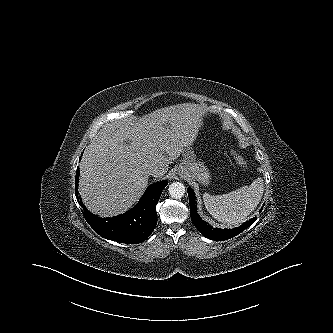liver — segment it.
Here are the masks:
<instances>
[{"label":"liver","mask_w":333,"mask_h":333,"mask_svg":"<svg viewBox=\"0 0 333 333\" xmlns=\"http://www.w3.org/2000/svg\"><path fill=\"white\" fill-rule=\"evenodd\" d=\"M201 107L184 103L157 109L138 122L106 125L85 149L79 192L89 211L101 217L124 213L143 194L149 169L162 177L191 146L202 125Z\"/></svg>","instance_id":"liver-1"}]
</instances>
